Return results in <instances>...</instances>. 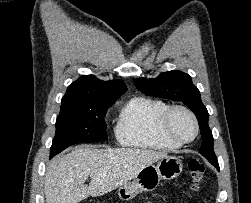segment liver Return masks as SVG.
I'll return each instance as SVG.
<instances>
[{"mask_svg":"<svg viewBox=\"0 0 251 203\" xmlns=\"http://www.w3.org/2000/svg\"><path fill=\"white\" fill-rule=\"evenodd\" d=\"M166 156L149 149L79 146L54 158L46 168V203H79L89 196L107 194ZM88 176L91 181L85 185Z\"/></svg>","mask_w":251,"mask_h":203,"instance_id":"obj_1","label":"liver"}]
</instances>
